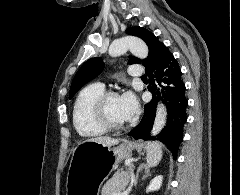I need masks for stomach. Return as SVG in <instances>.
<instances>
[{
    "label": "stomach",
    "mask_w": 240,
    "mask_h": 195,
    "mask_svg": "<svg viewBox=\"0 0 240 195\" xmlns=\"http://www.w3.org/2000/svg\"><path fill=\"white\" fill-rule=\"evenodd\" d=\"M145 143L122 139L117 147L99 141H81L73 151L66 183V195H99L100 187L122 159L146 149Z\"/></svg>",
    "instance_id": "0dacf381"
}]
</instances>
